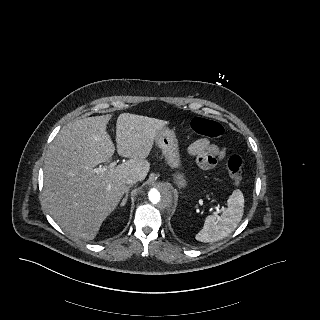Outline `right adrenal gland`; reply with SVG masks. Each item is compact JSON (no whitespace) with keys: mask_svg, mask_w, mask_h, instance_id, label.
I'll list each match as a JSON object with an SVG mask.
<instances>
[{"mask_svg":"<svg viewBox=\"0 0 320 320\" xmlns=\"http://www.w3.org/2000/svg\"><path fill=\"white\" fill-rule=\"evenodd\" d=\"M130 187H131V185H129L127 187L125 197L123 198L122 202L120 203V206H125L126 205L127 200H128V193H129Z\"/></svg>","mask_w":320,"mask_h":320,"instance_id":"1","label":"right adrenal gland"}]
</instances>
